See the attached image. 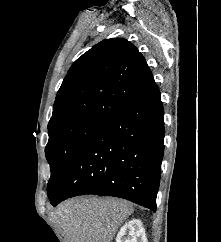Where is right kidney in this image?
Masks as SVG:
<instances>
[{"instance_id":"right-kidney-1","label":"right kidney","mask_w":221,"mask_h":242,"mask_svg":"<svg viewBox=\"0 0 221 242\" xmlns=\"http://www.w3.org/2000/svg\"><path fill=\"white\" fill-rule=\"evenodd\" d=\"M116 242H147L142 222L139 219L126 222L120 228Z\"/></svg>"}]
</instances>
